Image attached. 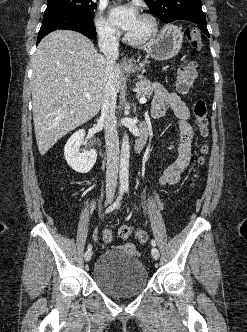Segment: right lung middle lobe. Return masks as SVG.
I'll use <instances>...</instances> for the list:
<instances>
[{"mask_svg":"<svg viewBox=\"0 0 247 332\" xmlns=\"http://www.w3.org/2000/svg\"><path fill=\"white\" fill-rule=\"evenodd\" d=\"M97 4L93 0H48L44 14L68 12L93 18Z\"/></svg>","mask_w":247,"mask_h":332,"instance_id":"dd1d6c3e","label":"right lung middle lobe"}]
</instances>
